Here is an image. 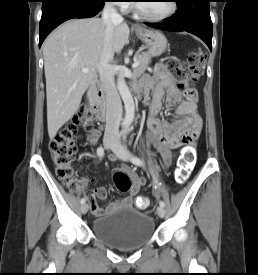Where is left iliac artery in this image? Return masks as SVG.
Listing matches in <instances>:
<instances>
[{"instance_id": "left-iliac-artery-1", "label": "left iliac artery", "mask_w": 258, "mask_h": 275, "mask_svg": "<svg viewBox=\"0 0 258 275\" xmlns=\"http://www.w3.org/2000/svg\"><path fill=\"white\" fill-rule=\"evenodd\" d=\"M131 162L137 166H143L142 160L136 156H131ZM159 204L160 206L165 207L164 201L161 200Z\"/></svg>"}]
</instances>
